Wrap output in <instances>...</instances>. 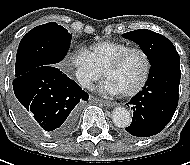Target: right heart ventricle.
<instances>
[{"label":"right heart ventricle","instance_id":"1","mask_svg":"<svg viewBox=\"0 0 190 165\" xmlns=\"http://www.w3.org/2000/svg\"><path fill=\"white\" fill-rule=\"evenodd\" d=\"M128 48H130V46L126 43L105 40L90 45L88 51L96 65L104 71L105 67L113 58Z\"/></svg>","mask_w":190,"mask_h":165}]
</instances>
